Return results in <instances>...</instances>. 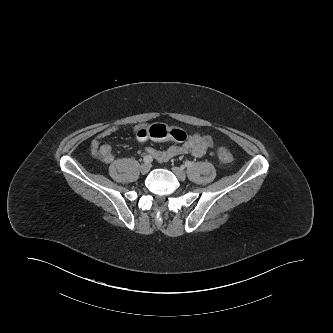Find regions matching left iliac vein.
<instances>
[{
    "label": "left iliac vein",
    "instance_id": "left-iliac-vein-1",
    "mask_svg": "<svg viewBox=\"0 0 333 333\" xmlns=\"http://www.w3.org/2000/svg\"><path fill=\"white\" fill-rule=\"evenodd\" d=\"M172 171H173V173L176 175V177H177L179 180H181V181L185 180V178H186V173L184 172V170H183L182 168H179V167H173V168H172Z\"/></svg>",
    "mask_w": 333,
    "mask_h": 333
}]
</instances>
